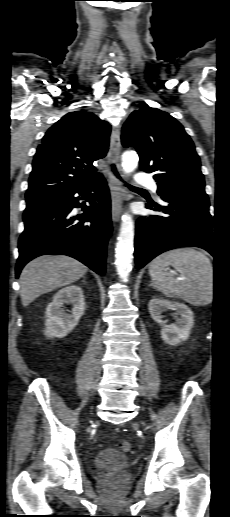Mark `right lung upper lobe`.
Segmentation results:
<instances>
[{
  "label": "right lung upper lobe",
  "instance_id": "obj_1",
  "mask_svg": "<svg viewBox=\"0 0 230 517\" xmlns=\"http://www.w3.org/2000/svg\"><path fill=\"white\" fill-rule=\"evenodd\" d=\"M110 129L91 112L63 116L37 148L26 199L74 189L101 176L93 162L105 157Z\"/></svg>",
  "mask_w": 230,
  "mask_h": 517
}]
</instances>
